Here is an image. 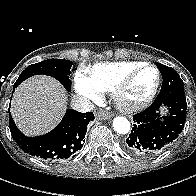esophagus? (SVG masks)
<instances>
[{
  "label": "esophagus",
  "instance_id": "34e87169",
  "mask_svg": "<svg viewBox=\"0 0 196 196\" xmlns=\"http://www.w3.org/2000/svg\"><path fill=\"white\" fill-rule=\"evenodd\" d=\"M112 117V115L108 112H98L96 114V118L99 119V120H106V119H110Z\"/></svg>",
  "mask_w": 196,
  "mask_h": 196
}]
</instances>
